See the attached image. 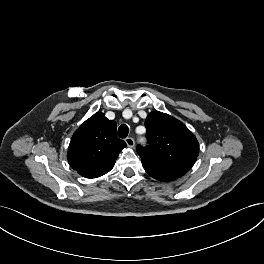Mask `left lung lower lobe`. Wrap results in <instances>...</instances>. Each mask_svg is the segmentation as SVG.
<instances>
[{
	"label": "left lung lower lobe",
	"instance_id": "obj_1",
	"mask_svg": "<svg viewBox=\"0 0 264 264\" xmlns=\"http://www.w3.org/2000/svg\"><path fill=\"white\" fill-rule=\"evenodd\" d=\"M142 165L145 171L150 176H152L153 178L159 181H163V182L175 180L183 176L186 173V172H183L177 169L162 167V166L154 165V164H151L145 161H142Z\"/></svg>",
	"mask_w": 264,
	"mask_h": 264
}]
</instances>
